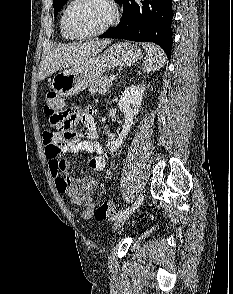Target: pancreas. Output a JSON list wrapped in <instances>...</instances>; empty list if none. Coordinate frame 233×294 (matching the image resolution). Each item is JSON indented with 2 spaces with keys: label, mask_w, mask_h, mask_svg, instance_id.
Instances as JSON below:
<instances>
[{
  "label": "pancreas",
  "mask_w": 233,
  "mask_h": 294,
  "mask_svg": "<svg viewBox=\"0 0 233 294\" xmlns=\"http://www.w3.org/2000/svg\"><path fill=\"white\" fill-rule=\"evenodd\" d=\"M112 85L111 80L107 75L104 77L98 78L94 83L90 86L89 93L95 95L97 93L104 94L106 89Z\"/></svg>",
  "instance_id": "1"
}]
</instances>
